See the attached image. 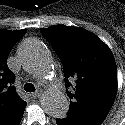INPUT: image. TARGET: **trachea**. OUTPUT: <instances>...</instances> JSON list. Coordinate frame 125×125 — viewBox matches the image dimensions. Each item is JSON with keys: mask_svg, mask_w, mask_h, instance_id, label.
<instances>
[{"mask_svg": "<svg viewBox=\"0 0 125 125\" xmlns=\"http://www.w3.org/2000/svg\"><path fill=\"white\" fill-rule=\"evenodd\" d=\"M24 90L26 92H34L35 91V87H34V85L32 83H26L24 85Z\"/></svg>", "mask_w": 125, "mask_h": 125, "instance_id": "3493384b", "label": "trachea"}]
</instances>
